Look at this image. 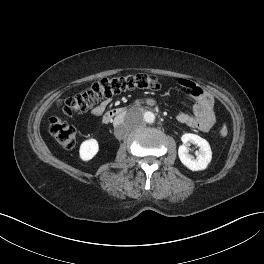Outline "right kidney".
Listing matches in <instances>:
<instances>
[{
  "label": "right kidney",
  "mask_w": 264,
  "mask_h": 264,
  "mask_svg": "<svg viewBox=\"0 0 264 264\" xmlns=\"http://www.w3.org/2000/svg\"><path fill=\"white\" fill-rule=\"evenodd\" d=\"M99 151L98 141L96 139H88L80 145V158L83 161L91 160Z\"/></svg>",
  "instance_id": "obj_1"
}]
</instances>
